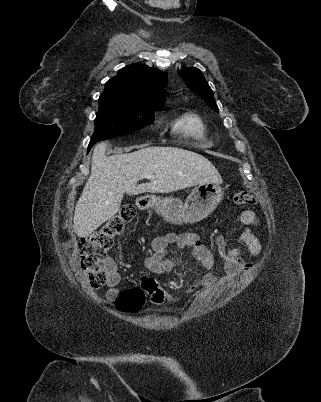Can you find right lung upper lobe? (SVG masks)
<instances>
[{
    "mask_svg": "<svg viewBox=\"0 0 321 402\" xmlns=\"http://www.w3.org/2000/svg\"><path fill=\"white\" fill-rule=\"evenodd\" d=\"M167 76L157 68L143 64H131L105 84L100 98L123 100L144 106H162Z\"/></svg>",
    "mask_w": 321,
    "mask_h": 402,
    "instance_id": "cb5924a9",
    "label": "right lung upper lobe"
}]
</instances>
